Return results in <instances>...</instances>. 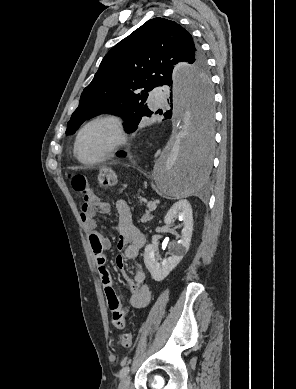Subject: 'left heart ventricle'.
I'll return each instance as SVG.
<instances>
[{
  "label": "left heart ventricle",
  "instance_id": "1",
  "mask_svg": "<svg viewBox=\"0 0 296 389\" xmlns=\"http://www.w3.org/2000/svg\"><path fill=\"white\" fill-rule=\"evenodd\" d=\"M113 138L114 132L108 124L93 125L82 135L78 153L85 160L96 159L113 141Z\"/></svg>",
  "mask_w": 296,
  "mask_h": 389
}]
</instances>
